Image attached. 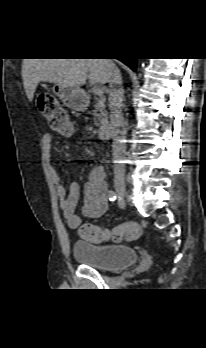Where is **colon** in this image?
I'll use <instances>...</instances> for the list:
<instances>
[{
  "label": "colon",
  "mask_w": 206,
  "mask_h": 348,
  "mask_svg": "<svg viewBox=\"0 0 206 348\" xmlns=\"http://www.w3.org/2000/svg\"><path fill=\"white\" fill-rule=\"evenodd\" d=\"M38 109L49 122L50 128L62 135L72 133L71 121L58 99L52 94H40L37 98ZM142 233L136 222H124L111 229H104L93 224H83L79 228L80 236L90 242L98 243L106 240L120 242L123 239L135 240Z\"/></svg>",
  "instance_id": "colon-1"
}]
</instances>
